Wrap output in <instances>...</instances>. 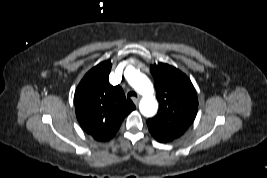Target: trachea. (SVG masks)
Instances as JSON below:
<instances>
[{"label": "trachea", "instance_id": "obj_1", "mask_svg": "<svg viewBox=\"0 0 267 178\" xmlns=\"http://www.w3.org/2000/svg\"><path fill=\"white\" fill-rule=\"evenodd\" d=\"M137 97V94H136V92H134V91H130V92H128V94H127V97L129 98V97Z\"/></svg>", "mask_w": 267, "mask_h": 178}]
</instances>
